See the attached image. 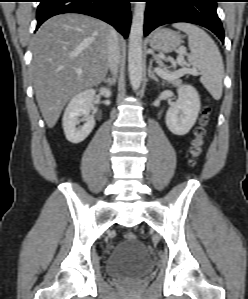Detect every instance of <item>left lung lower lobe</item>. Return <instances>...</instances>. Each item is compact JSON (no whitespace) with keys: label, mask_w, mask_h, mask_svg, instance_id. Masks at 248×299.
<instances>
[{"label":"left lung lower lobe","mask_w":248,"mask_h":299,"mask_svg":"<svg viewBox=\"0 0 248 299\" xmlns=\"http://www.w3.org/2000/svg\"><path fill=\"white\" fill-rule=\"evenodd\" d=\"M144 35L158 26L188 22L208 28L224 43V30L216 13L218 0H145Z\"/></svg>","instance_id":"1"}]
</instances>
